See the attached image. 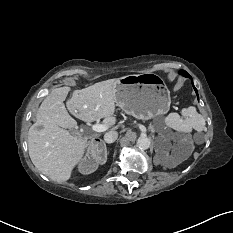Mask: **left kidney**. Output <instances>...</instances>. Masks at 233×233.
<instances>
[{
	"label": "left kidney",
	"instance_id": "5707ae66",
	"mask_svg": "<svg viewBox=\"0 0 233 233\" xmlns=\"http://www.w3.org/2000/svg\"><path fill=\"white\" fill-rule=\"evenodd\" d=\"M167 146L165 151V156L170 157L173 161L177 162L175 155L169 156L168 151L170 150L171 146L169 144V141L166 140ZM182 141H177V143L173 146L174 151H177L181 147Z\"/></svg>",
	"mask_w": 233,
	"mask_h": 233
}]
</instances>
